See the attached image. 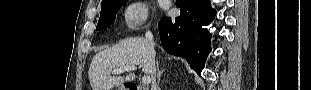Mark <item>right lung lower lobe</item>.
Instances as JSON below:
<instances>
[{"instance_id": "obj_1", "label": "right lung lower lobe", "mask_w": 311, "mask_h": 90, "mask_svg": "<svg viewBox=\"0 0 311 90\" xmlns=\"http://www.w3.org/2000/svg\"><path fill=\"white\" fill-rule=\"evenodd\" d=\"M180 16L162 17L158 28L162 47L170 54L184 57L190 67L201 73L211 51V34L202 26L208 25L216 11L209 0H177Z\"/></svg>"}]
</instances>
